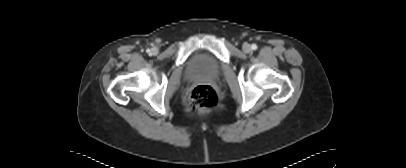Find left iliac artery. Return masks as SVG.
I'll return each mask as SVG.
<instances>
[{"label": "left iliac artery", "instance_id": "1", "mask_svg": "<svg viewBox=\"0 0 406 168\" xmlns=\"http://www.w3.org/2000/svg\"><path fill=\"white\" fill-rule=\"evenodd\" d=\"M251 48H252V50H256V49H257V45H256V44H252Z\"/></svg>", "mask_w": 406, "mask_h": 168}]
</instances>
